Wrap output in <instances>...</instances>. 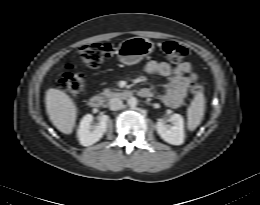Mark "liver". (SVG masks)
<instances>
[{
  "instance_id": "obj_1",
  "label": "liver",
  "mask_w": 260,
  "mask_h": 205,
  "mask_svg": "<svg viewBox=\"0 0 260 205\" xmlns=\"http://www.w3.org/2000/svg\"><path fill=\"white\" fill-rule=\"evenodd\" d=\"M46 111L52 124L62 133L71 134L76 118L77 107L62 90L50 88L46 92Z\"/></svg>"
}]
</instances>
